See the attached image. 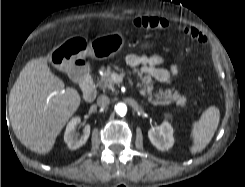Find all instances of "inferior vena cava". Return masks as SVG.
<instances>
[{"label":"inferior vena cava","instance_id":"602c4592","mask_svg":"<svg viewBox=\"0 0 245 187\" xmlns=\"http://www.w3.org/2000/svg\"><path fill=\"white\" fill-rule=\"evenodd\" d=\"M110 103V99L108 96L106 95H100L98 98H97V105L99 107H107Z\"/></svg>","mask_w":245,"mask_h":187}]
</instances>
